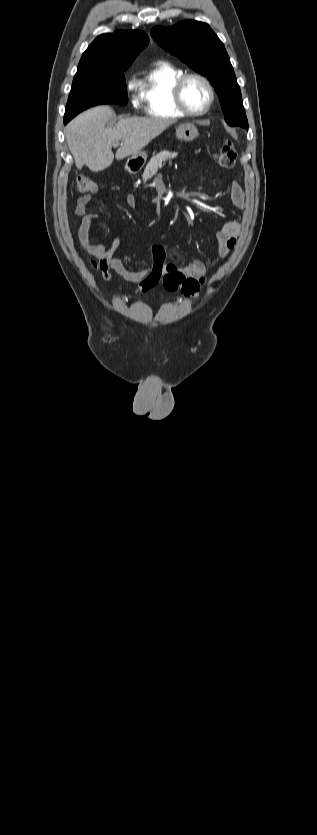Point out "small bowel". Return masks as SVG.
Segmentation results:
<instances>
[{
	"mask_svg": "<svg viewBox=\"0 0 317 835\" xmlns=\"http://www.w3.org/2000/svg\"><path fill=\"white\" fill-rule=\"evenodd\" d=\"M229 194L234 206L238 209H243L245 205V194L238 182L232 181L230 183ZM90 201V195L78 198L75 213L76 215L83 217L78 228V239L83 250L90 256V263L92 267L101 272L102 278L107 283L112 282V272L117 273L126 281L136 282L137 287L134 289L135 294L146 293L158 286L166 266V252L164 247L160 245L153 247L152 265L149 268H128L121 259L114 256L116 250L121 244L119 231L116 228H111L114 238L108 248L91 238L90 231L98 219V214H86ZM125 201L131 208L136 206V199L133 195H127ZM239 232L240 224L233 220L224 222L218 229L216 232V239L218 243V253L221 258H225L234 248ZM182 272L187 277L196 279L200 284H204L207 280L205 276L206 265L204 261L198 258L187 262L182 268Z\"/></svg>",
	"mask_w": 317,
	"mask_h": 835,
	"instance_id": "1",
	"label": "small bowel"
}]
</instances>
